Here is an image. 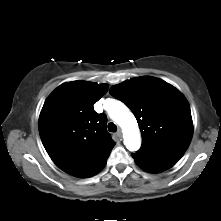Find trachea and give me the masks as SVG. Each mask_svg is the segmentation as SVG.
Listing matches in <instances>:
<instances>
[{"mask_svg": "<svg viewBox=\"0 0 221 221\" xmlns=\"http://www.w3.org/2000/svg\"><path fill=\"white\" fill-rule=\"evenodd\" d=\"M108 130H109V132H116L117 131V126L113 122H110L108 124Z\"/></svg>", "mask_w": 221, "mask_h": 221, "instance_id": "obj_1", "label": "trachea"}]
</instances>
